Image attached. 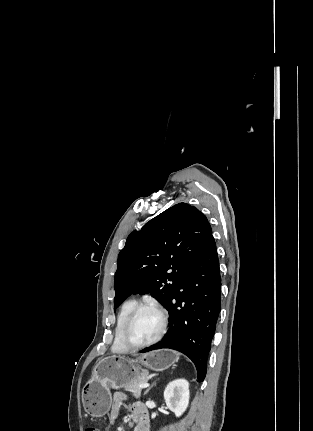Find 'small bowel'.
<instances>
[{
	"label": "small bowel",
	"mask_w": 313,
	"mask_h": 431,
	"mask_svg": "<svg viewBox=\"0 0 313 431\" xmlns=\"http://www.w3.org/2000/svg\"><path fill=\"white\" fill-rule=\"evenodd\" d=\"M125 399V396L121 393H117L114 396L112 416L115 418L119 412V409ZM132 417H137V427L135 431H148L149 422L145 409L140 404H134L131 408Z\"/></svg>",
	"instance_id": "obj_1"
}]
</instances>
